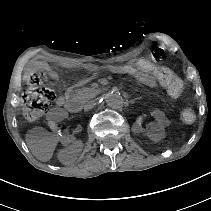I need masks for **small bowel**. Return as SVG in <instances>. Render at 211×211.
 Wrapping results in <instances>:
<instances>
[{
  "instance_id": "1",
  "label": "small bowel",
  "mask_w": 211,
  "mask_h": 211,
  "mask_svg": "<svg viewBox=\"0 0 211 211\" xmlns=\"http://www.w3.org/2000/svg\"><path fill=\"white\" fill-rule=\"evenodd\" d=\"M108 69L110 71L116 72V73H132V74H135L137 79H138V81L141 84H143V85L150 86V87H153V86L156 85L155 79L152 76L138 74V73L134 72L132 69H130L128 67H124V66L109 67ZM42 71L43 72H48L49 76L52 79H56L57 78L56 74L50 72L48 70L47 65L45 63L41 62V61L35 62V64L33 65L32 70H30L29 75H32L35 72H42ZM92 71L97 72L98 68L93 67ZM84 82H85V80L80 82V84H83ZM69 94H70V90H63L61 92V94L57 97L56 103L58 105L65 104L67 99H68V97H69ZM152 116H153V122L151 124H149L148 129L152 133H155V132H158L159 130L164 128V126L166 125V117H165L164 113L162 111L158 110V109L153 111ZM47 125H48V128L52 132H55L56 134L58 133L56 118L54 117V112L49 115ZM58 136H59V138L62 141L65 140V138L61 134H59Z\"/></svg>"
}]
</instances>
